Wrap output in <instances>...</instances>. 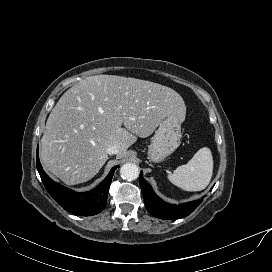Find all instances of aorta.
Instances as JSON below:
<instances>
[{"instance_id":"1","label":"aorta","mask_w":272,"mask_h":272,"mask_svg":"<svg viewBox=\"0 0 272 272\" xmlns=\"http://www.w3.org/2000/svg\"><path fill=\"white\" fill-rule=\"evenodd\" d=\"M120 174L123 179L135 180L139 176V168L136 164L126 163L121 167Z\"/></svg>"}]
</instances>
